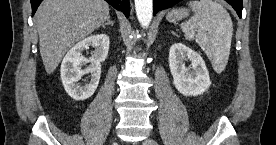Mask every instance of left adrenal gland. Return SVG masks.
Instances as JSON below:
<instances>
[{
    "mask_svg": "<svg viewBox=\"0 0 276 145\" xmlns=\"http://www.w3.org/2000/svg\"><path fill=\"white\" fill-rule=\"evenodd\" d=\"M171 33H172L173 35H176L173 31H171Z\"/></svg>",
    "mask_w": 276,
    "mask_h": 145,
    "instance_id": "obj_1",
    "label": "left adrenal gland"
}]
</instances>
